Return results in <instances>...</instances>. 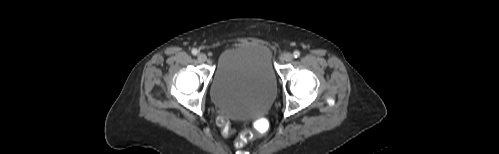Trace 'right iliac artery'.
I'll return each instance as SVG.
<instances>
[{"mask_svg":"<svg viewBox=\"0 0 499 154\" xmlns=\"http://www.w3.org/2000/svg\"><path fill=\"white\" fill-rule=\"evenodd\" d=\"M191 52H192L193 55H197L198 54V50L197 49H192Z\"/></svg>","mask_w":499,"mask_h":154,"instance_id":"obj_1","label":"right iliac artery"}]
</instances>
